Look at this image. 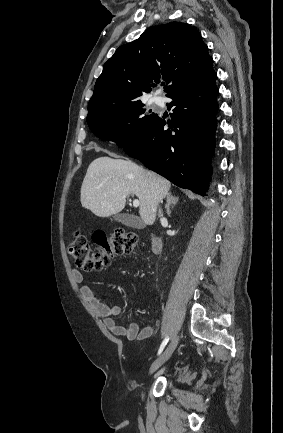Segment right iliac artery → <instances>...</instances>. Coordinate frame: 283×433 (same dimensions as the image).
I'll use <instances>...</instances> for the list:
<instances>
[{"label":"right iliac artery","mask_w":283,"mask_h":433,"mask_svg":"<svg viewBox=\"0 0 283 433\" xmlns=\"http://www.w3.org/2000/svg\"><path fill=\"white\" fill-rule=\"evenodd\" d=\"M168 341H169V337L167 336L164 339V341L162 342V344L160 345V348L158 350V355H160L162 353V351H163L164 347L166 346V344L168 343Z\"/></svg>","instance_id":"82829eb1"}]
</instances>
